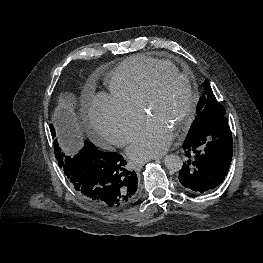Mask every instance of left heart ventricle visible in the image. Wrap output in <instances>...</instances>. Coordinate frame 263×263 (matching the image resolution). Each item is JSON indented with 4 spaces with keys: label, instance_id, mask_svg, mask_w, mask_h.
I'll use <instances>...</instances> for the list:
<instances>
[{
    "label": "left heart ventricle",
    "instance_id": "1",
    "mask_svg": "<svg viewBox=\"0 0 263 263\" xmlns=\"http://www.w3.org/2000/svg\"><path fill=\"white\" fill-rule=\"evenodd\" d=\"M188 104L189 92L185 82L178 78L165 77L159 81L145 114L161 121L174 132Z\"/></svg>",
    "mask_w": 263,
    "mask_h": 263
}]
</instances>
